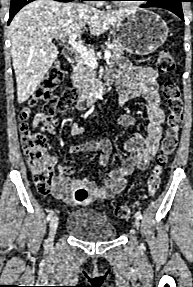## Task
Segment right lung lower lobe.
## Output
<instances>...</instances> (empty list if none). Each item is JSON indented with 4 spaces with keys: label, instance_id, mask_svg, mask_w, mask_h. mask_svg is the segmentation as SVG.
I'll list each match as a JSON object with an SVG mask.
<instances>
[{
    "label": "right lung lower lobe",
    "instance_id": "right-lung-lower-lobe-1",
    "mask_svg": "<svg viewBox=\"0 0 193 287\" xmlns=\"http://www.w3.org/2000/svg\"><path fill=\"white\" fill-rule=\"evenodd\" d=\"M34 0H11V6H10V16L8 20V24L11 22L12 18L15 16V14L26 4L32 2ZM60 2H70L73 0H56ZM84 1V0H82Z\"/></svg>",
    "mask_w": 193,
    "mask_h": 287
}]
</instances>
